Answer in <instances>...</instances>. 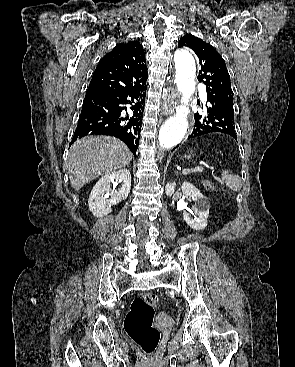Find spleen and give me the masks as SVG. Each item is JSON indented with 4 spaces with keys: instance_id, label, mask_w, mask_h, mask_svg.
Returning a JSON list of instances; mask_svg holds the SVG:
<instances>
[{
    "instance_id": "3e777b00",
    "label": "spleen",
    "mask_w": 295,
    "mask_h": 367,
    "mask_svg": "<svg viewBox=\"0 0 295 367\" xmlns=\"http://www.w3.org/2000/svg\"><path fill=\"white\" fill-rule=\"evenodd\" d=\"M221 180L229 189L233 191H238L241 188L240 177L238 175L229 174L228 170L222 172Z\"/></svg>"
}]
</instances>
